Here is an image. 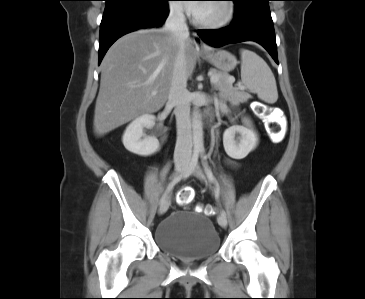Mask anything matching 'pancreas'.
Instances as JSON below:
<instances>
[{
	"mask_svg": "<svg viewBox=\"0 0 365 299\" xmlns=\"http://www.w3.org/2000/svg\"><path fill=\"white\" fill-rule=\"evenodd\" d=\"M210 73L219 77V81L215 83L214 86L220 91V96L222 98L233 103H243L251 97L247 92L234 88L232 85L234 78L229 76L227 73H223L215 69H211Z\"/></svg>",
	"mask_w": 365,
	"mask_h": 299,
	"instance_id": "obj_1",
	"label": "pancreas"
}]
</instances>
